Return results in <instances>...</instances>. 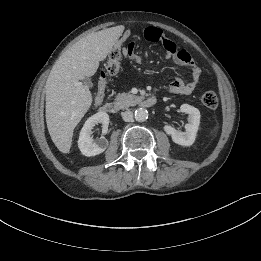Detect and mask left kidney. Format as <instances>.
<instances>
[{
  "instance_id": "5707ae66",
  "label": "left kidney",
  "mask_w": 261,
  "mask_h": 261,
  "mask_svg": "<svg viewBox=\"0 0 261 261\" xmlns=\"http://www.w3.org/2000/svg\"><path fill=\"white\" fill-rule=\"evenodd\" d=\"M180 111L188 114V123L185 125V132L178 131L170 125H165L164 131L171 136L173 142L176 144L191 146L195 141L199 128L200 111L189 104H182L180 106Z\"/></svg>"
}]
</instances>
